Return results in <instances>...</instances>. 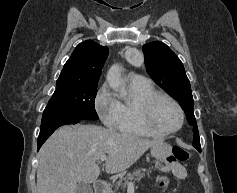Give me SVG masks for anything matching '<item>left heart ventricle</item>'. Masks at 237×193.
Instances as JSON below:
<instances>
[{"instance_id":"1","label":"left heart ventricle","mask_w":237,"mask_h":193,"mask_svg":"<svg viewBox=\"0 0 237 193\" xmlns=\"http://www.w3.org/2000/svg\"><path fill=\"white\" fill-rule=\"evenodd\" d=\"M153 122L161 129L173 130L180 123V114L170 101L161 100L154 108Z\"/></svg>"}]
</instances>
